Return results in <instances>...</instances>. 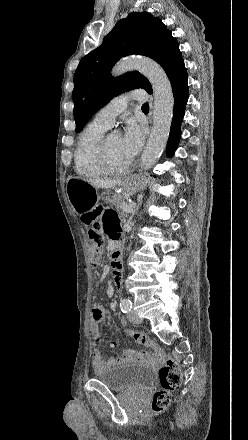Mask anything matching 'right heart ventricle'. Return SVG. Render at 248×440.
<instances>
[{"label": "right heart ventricle", "mask_w": 248, "mask_h": 440, "mask_svg": "<svg viewBox=\"0 0 248 440\" xmlns=\"http://www.w3.org/2000/svg\"><path fill=\"white\" fill-rule=\"evenodd\" d=\"M107 129L94 120L81 132L74 153L75 170L78 174L90 178L105 174L98 162V148Z\"/></svg>", "instance_id": "1"}]
</instances>
